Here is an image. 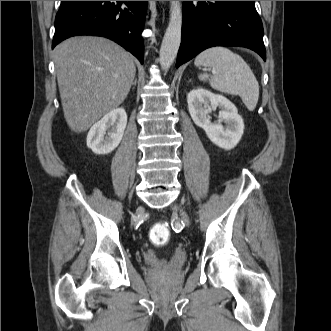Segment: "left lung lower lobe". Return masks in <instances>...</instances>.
I'll list each match as a JSON object with an SVG mask.
<instances>
[{
    "label": "left lung lower lobe",
    "instance_id": "left-lung-lower-lobe-1",
    "mask_svg": "<svg viewBox=\"0 0 331 331\" xmlns=\"http://www.w3.org/2000/svg\"><path fill=\"white\" fill-rule=\"evenodd\" d=\"M213 46H239L266 61L262 21L254 1H183L176 67Z\"/></svg>",
    "mask_w": 331,
    "mask_h": 331
}]
</instances>
